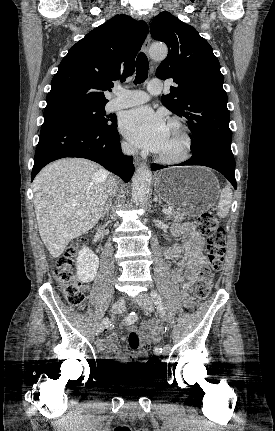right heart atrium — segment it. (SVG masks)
Returning <instances> with one entry per match:
<instances>
[{
  "mask_svg": "<svg viewBox=\"0 0 275 431\" xmlns=\"http://www.w3.org/2000/svg\"><path fill=\"white\" fill-rule=\"evenodd\" d=\"M122 148L125 152H130L131 151V146L127 143V142H123L122 143Z\"/></svg>",
  "mask_w": 275,
  "mask_h": 431,
  "instance_id": "right-heart-atrium-1",
  "label": "right heart atrium"
}]
</instances>
